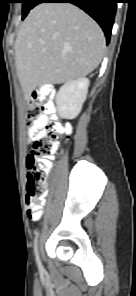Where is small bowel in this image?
<instances>
[{
	"instance_id": "c3829d8e",
	"label": "small bowel",
	"mask_w": 136,
	"mask_h": 296,
	"mask_svg": "<svg viewBox=\"0 0 136 296\" xmlns=\"http://www.w3.org/2000/svg\"><path fill=\"white\" fill-rule=\"evenodd\" d=\"M49 119V117L48 116H46V117H44L43 119H41L40 121H38L34 126H33V128L31 129V135H42L43 133H44V131H43V122L45 121V120H48ZM41 215H42V209H41V211H40V217H41ZM39 217V218H40ZM38 218V219H39ZM34 220H36V219H34Z\"/></svg>"
}]
</instances>
